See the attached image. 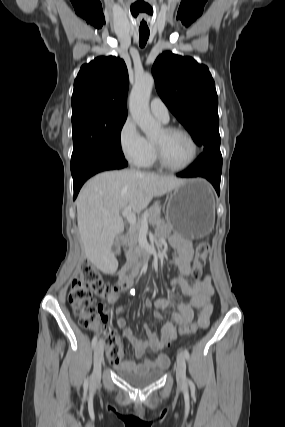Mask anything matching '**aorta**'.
I'll return each instance as SVG.
<instances>
[{
	"label": "aorta",
	"instance_id": "obj_1",
	"mask_svg": "<svg viewBox=\"0 0 285 427\" xmlns=\"http://www.w3.org/2000/svg\"><path fill=\"white\" fill-rule=\"evenodd\" d=\"M153 85L151 75L138 76L129 97L130 114L148 138L156 136L161 130V125L152 117L149 109Z\"/></svg>",
	"mask_w": 285,
	"mask_h": 427
}]
</instances>
